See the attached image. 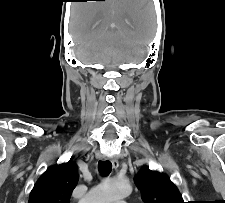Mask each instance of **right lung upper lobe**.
I'll use <instances>...</instances> for the list:
<instances>
[{"label":"right lung upper lobe","instance_id":"1","mask_svg":"<svg viewBox=\"0 0 225 203\" xmlns=\"http://www.w3.org/2000/svg\"><path fill=\"white\" fill-rule=\"evenodd\" d=\"M78 183L77 166L72 162L48 168L34 185L28 203H69Z\"/></svg>","mask_w":225,"mask_h":203}]
</instances>
